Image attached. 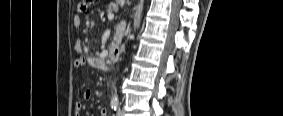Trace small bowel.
I'll return each instance as SVG.
<instances>
[{
  "mask_svg": "<svg viewBox=\"0 0 283 116\" xmlns=\"http://www.w3.org/2000/svg\"><path fill=\"white\" fill-rule=\"evenodd\" d=\"M73 25L76 28H80L82 26V18L80 17V15H74L73 16ZM74 50L79 53L82 54L83 53V48L82 45L79 41H77L74 44ZM96 58L95 57H90V56H81L79 57L76 62H75V67L77 68H81L84 67L86 65H96ZM94 97V92L91 90H86L84 92V99L85 100H91ZM82 104L78 103L76 105V113L77 115L80 114L81 110H82ZM109 114L108 109L106 107L101 108L100 110V115L101 116H107Z\"/></svg>",
  "mask_w": 283,
  "mask_h": 116,
  "instance_id": "c3829d8e",
  "label": "small bowel"
}]
</instances>
